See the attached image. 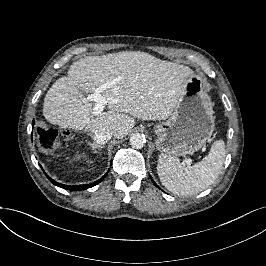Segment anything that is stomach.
<instances>
[{
    "instance_id": "1",
    "label": "stomach",
    "mask_w": 266,
    "mask_h": 266,
    "mask_svg": "<svg viewBox=\"0 0 266 266\" xmlns=\"http://www.w3.org/2000/svg\"><path fill=\"white\" fill-rule=\"evenodd\" d=\"M156 148L167 156L182 157L199 151L215 130L213 103L194 76L168 120L152 127Z\"/></svg>"
}]
</instances>
